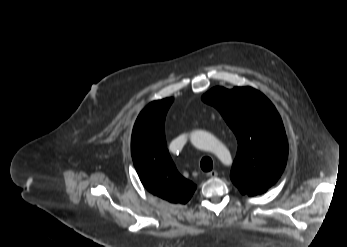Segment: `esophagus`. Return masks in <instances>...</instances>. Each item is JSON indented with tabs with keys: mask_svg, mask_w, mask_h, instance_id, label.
<instances>
[{
	"mask_svg": "<svg viewBox=\"0 0 347 247\" xmlns=\"http://www.w3.org/2000/svg\"><path fill=\"white\" fill-rule=\"evenodd\" d=\"M208 177H216L218 175L217 171L212 170L206 174Z\"/></svg>",
	"mask_w": 347,
	"mask_h": 247,
	"instance_id": "34e87169",
	"label": "esophagus"
}]
</instances>
